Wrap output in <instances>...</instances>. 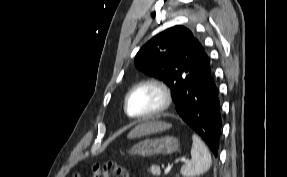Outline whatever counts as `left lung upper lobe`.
I'll use <instances>...</instances> for the list:
<instances>
[{"label":"left lung upper lobe","instance_id":"5c2ea615","mask_svg":"<svg viewBox=\"0 0 287 177\" xmlns=\"http://www.w3.org/2000/svg\"><path fill=\"white\" fill-rule=\"evenodd\" d=\"M209 62L203 45L183 26L157 34L135 57L138 69L163 80L171 88L175 105Z\"/></svg>","mask_w":287,"mask_h":177}]
</instances>
